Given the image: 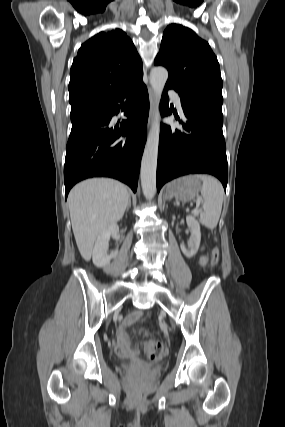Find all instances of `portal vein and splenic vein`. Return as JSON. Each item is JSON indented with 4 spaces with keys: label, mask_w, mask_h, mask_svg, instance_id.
Returning <instances> with one entry per match:
<instances>
[{
    "label": "portal vein and splenic vein",
    "mask_w": 285,
    "mask_h": 427,
    "mask_svg": "<svg viewBox=\"0 0 285 427\" xmlns=\"http://www.w3.org/2000/svg\"><path fill=\"white\" fill-rule=\"evenodd\" d=\"M198 204H200V201H198ZM198 212L199 211L197 209L191 211L192 214H197Z\"/></svg>",
    "instance_id": "18ae733b"
}]
</instances>
